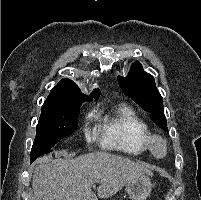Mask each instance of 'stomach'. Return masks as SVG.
Masks as SVG:
<instances>
[{
    "label": "stomach",
    "mask_w": 201,
    "mask_h": 200,
    "mask_svg": "<svg viewBox=\"0 0 201 200\" xmlns=\"http://www.w3.org/2000/svg\"><path fill=\"white\" fill-rule=\"evenodd\" d=\"M152 184L146 175L137 177L126 183V192L131 200H146L150 195Z\"/></svg>",
    "instance_id": "1"
}]
</instances>
